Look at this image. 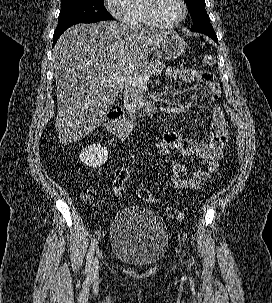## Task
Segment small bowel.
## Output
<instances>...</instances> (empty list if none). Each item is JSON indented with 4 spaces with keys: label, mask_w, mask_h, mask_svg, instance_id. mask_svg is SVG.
<instances>
[{
    "label": "small bowel",
    "mask_w": 272,
    "mask_h": 303,
    "mask_svg": "<svg viewBox=\"0 0 272 303\" xmlns=\"http://www.w3.org/2000/svg\"><path fill=\"white\" fill-rule=\"evenodd\" d=\"M167 76L170 79L183 82L200 81L208 86L210 97L217 100L222 90L213 75L208 72L169 68ZM229 140V129L226 114L221 104H215L211 110L208 131L204 137L194 138L184 136L176 131H167L157 144L160 156L169 157L179 154L192 158L200 163L194 170H189L183 162H173L170 167V178L174 189H199L204 182L210 180L220 168L224 149Z\"/></svg>",
    "instance_id": "small-bowel-1"
}]
</instances>
